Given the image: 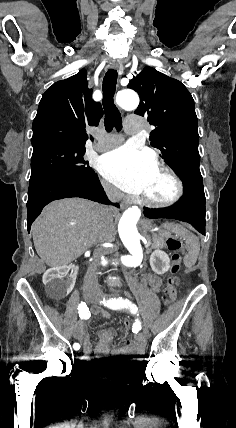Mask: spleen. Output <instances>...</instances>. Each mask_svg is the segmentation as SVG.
<instances>
[{
  "instance_id": "spleen-1",
  "label": "spleen",
  "mask_w": 236,
  "mask_h": 428,
  "mask_svg": "<svg viewBox=\"0 0 236 428\" xmlns=\"http://www.w3.org/2000/svg\"><path fill=\"white\" fill-rule=\"evenodd\" d=\"M167 230H171V232H175L177 236H181V238H184L186 240V246H187V254L184 256V264L186 268H191V266H194L198 254L200 252V244L198 238L194 236V234H191L189 230H186V228H182V226H175V224H167L165 226Z\"/></svg>"
}]
</instances>
